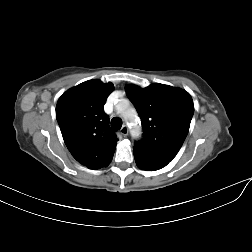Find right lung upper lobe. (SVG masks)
<instances>
[{"mask_svg":"<svg viewBox=\"0 0 252 252\" xmlns=\"http://www.w3.org/2000/svg\"><path fill=\"white\" fill-rule=\"evenodd\" d=\"M114 90L112 83L93 79L66 91L58 100L56 119L72 156L90 169L106 167L117 138L103 106Z\"/></svg>","mask_w":252,"mask_h":252,"instance_id":"1","label":"right lung upper lobe"}]
</instances>
